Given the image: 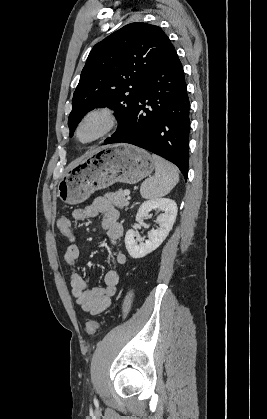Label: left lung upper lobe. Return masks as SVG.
Masks as SVG:
<instances>
[{
    "instance_id": "left-lung-upper-lobe-1",
    "label": "left lung upper lobe",
    "mask_w": 267,
    "mask_h": 419,
    "mask_svg": "<svg viewBox=\"0 0 267 419\" xmlns=\"http://www.w3.org/2000/svg\"><path fill=\"white\" fill-rule=\"evenodd\" d=\"M170 44L161 28L140 22L128 24L97 43L73 95L70 136L84 114L94 108L109 107L116 112L119 124L125 120Z\"/></svg>"
}]
</instances>
